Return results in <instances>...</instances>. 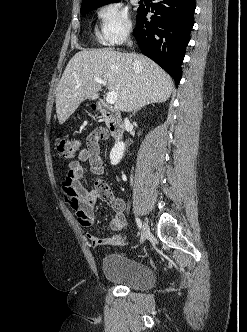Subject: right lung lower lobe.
<instances>
[{
	"mask_svg": "<svg viewBox=\"0 0 247 332\" xmlns=\"http://www.w3.org/2000/svg\"><path fill=\"white\" fill-rule=\"evenodd\" d=\"M195 0H157L151 4L154 15L147 22L148 10L138 9L136 38L144 55L160 65L176 82L181 80V63L194 25Z\"/></svg>",
	"mask_w": 247,
	"mask_h": 332,
	"instance_id": "98d812e1",
	"label": "right lung lower lobe"
}]
</instances>
